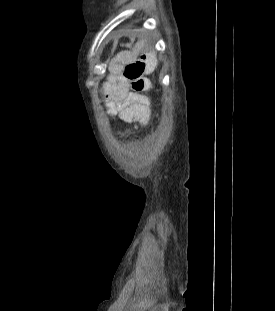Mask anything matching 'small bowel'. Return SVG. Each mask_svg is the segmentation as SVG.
<instances>
[{
    "label": "small bowel",
    "mask_w": 275,
    "mask_h": 311,
    "mask_svg": "<svg viewBox=\"0 0 275 311\" xmlns=\"http://www.w3.org/2000/svg\"><path fill=\"white\" fill-rule=\"evenodd\" d=\"M133 52L122 51L110 63V81L105 88V97L108 107L119 114L120 118L131 123L138 121L143 128L149 118V99L137 92L132 82L127 78L125 71L135 57H154V50H141L139 46L133 47Z\"/></svg>",
    "instance_id": "c3829d8e"
}]
</instances>
